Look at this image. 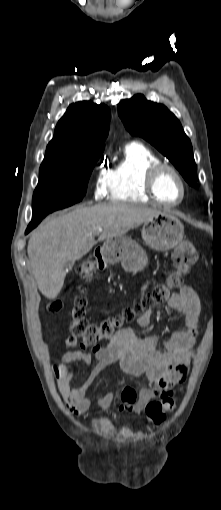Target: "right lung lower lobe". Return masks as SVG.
Returning a JSON list of instances; mask_svg holds the SVG:
<instances>
[{
    "label": "right lung lower lobe",
    "instance_id": "obj_1",
    "mask_svg": "<svg viewBox=\"0 0 221 510\" xmlns=\"http://www.w3.org/2000/svg\"><path fill=\"white\" fill-rule=\"evenodd\" d=\"M51 213V212H50ZM49 213H36V212H33V215H32V221L30 222V224L28 225L27 229H26V234L29 233L33 228H35L40 222L41 220Z\"/></svg>",
    "mask_w": 221,
    "mask_h": 510
}]
</instances>
